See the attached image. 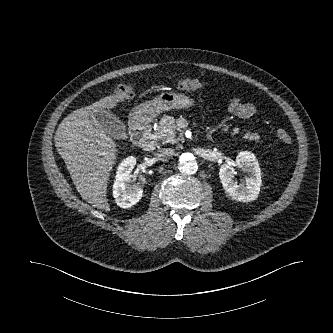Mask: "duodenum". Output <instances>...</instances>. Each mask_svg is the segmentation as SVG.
Segmentation results:
<instances>
[{"label":"duodenum","instance_id":"duodenum-1","mask_svg":"<svg viewBox=\"0 0 333 333\" xmlns=\"http://www.w3.org/2000/svg\"><path fill=\"white\" fill-rule=\"evenodd\" d=\"M130 133L133 142L138 147L147 151L155 149L156 137L152 132L151 123L146 114H139L133 119Z\"/></svg>","mask_w":333,"mask_h":333}]
</instances>
